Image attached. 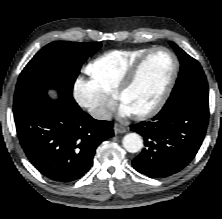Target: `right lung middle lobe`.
Returning a JSON list of instances; mask_svg holds the SVG:
<instances>
[{
	"mask_svg": "<svg viewBox=\"0 0 222 219\" xmlns=\"http://www.w3.org/2000/svg\"><path fill=\"white\" fill-rule=\"evenodd\" d=\"M101 47L100 42L55 41L43 47L21 72L13 110L47 96L49 89L72 93L82 64Z\"/></svg>",
	"mask_w": 222,
	"mask_h": 219,
	"instance_id": "obj_1",
	"label": "right lung middle lobe"
}]
</instances>
